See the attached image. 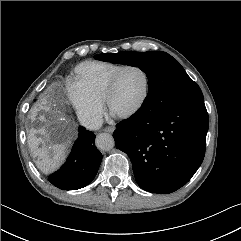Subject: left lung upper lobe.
<instances>
[{"label": "left lung upper lobe", "instance_id": "1", "mask_svg": "<svg viewBox=\"0 0 241 241\" xmlns=\"http://www.w3.org/2000/svg\"><path fill=\"white\" fill-rule=\"evenodd\" d=\"M101 61L139 67L148 77V92L160 88L170 103L203 99L201 89L183 67L165 52L106 53L95 56Z\"/></svg>", "mask_w": 241, "mask_h": 241}]
</instances>
